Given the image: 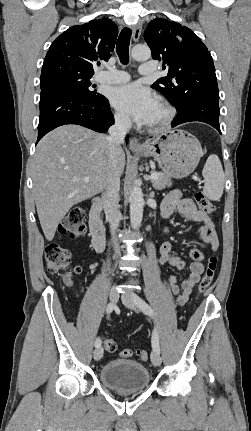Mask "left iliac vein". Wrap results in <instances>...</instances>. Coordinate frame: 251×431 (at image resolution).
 I'll use <instances>...</instances> for the list:
<instances>
[{
  "mask_svg": "<svg viewBox=\"0 0 251 431\" xmlns=\"http://www.w3.org/2000/svg\"><path fill=\"white\" fill-rule=\"evenodd\" d=\"M121 300L126 307L132 310H136L135 294L124 293L121 296ZM151 361L154 366H159L161 364L160 353L153 350L151 353Z\"/></svg>",
  "mask_w": 251,
  "mask_h": 431,
  "instance_id": "obj_1",
  "label": "left iliac vein"
}]
</instances>
